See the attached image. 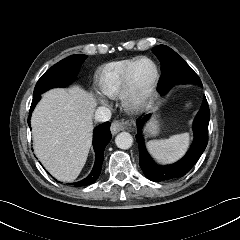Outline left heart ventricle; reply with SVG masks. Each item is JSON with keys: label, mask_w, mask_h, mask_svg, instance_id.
Returning <instances> with one entry per match:
<instances>
[{"label": "left heart ventricle", "mask_w": 240, "mask_h": 240, "mask_svg": "<svg viewBox=\"0 0 240 240\" xmlns=\"http://www.w3.org/2000/svg\"><path fill=\"white\" fill-rule=\"evenodd\" d=\"M154 74L153 66L148 61H142L136 67L133 74V85L139 90H145L150 85Z\"/></svg>", "instance_id": "obj_1"}]
</instances>
